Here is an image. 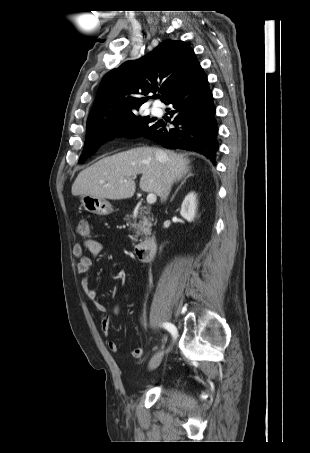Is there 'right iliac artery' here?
<instances>
[{
  "mask_svg": "<svg viewBox=\"0 0 310 453\" xmlns=\"http://www.w3.org/2000/svg\"><path fill=\"white\" fill-rule=\"evenodd\" d=\"M163 327L166 328V329L172 334V336H173L174 338H176V336H177V329H176V327H175L173 324H171V323H164V324H163Z\"/></svg>",
  "mask_w": 310,
  "mask_h": 453,
  "instance_id": "obj_1",
  "label": "right iliac artery"
}]
</instances>
